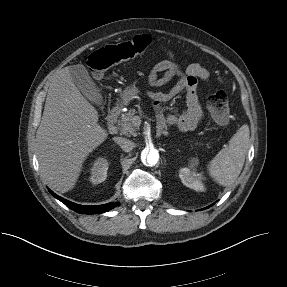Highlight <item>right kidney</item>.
<instances>
[{
  "label": "right kidney",
  "mask_w": 287,
  "mask_h": 287,
  "mask_svg": "<svg viewBox=\"0 0 287 287\" xmlns=\"http://www.w3.org/2000/svg\"><path fill=\"white\" fill-rule=\"evenodd\" d=\"M108 161L105 158L99 157L93 162L90 169V181L93 184H99L107 178Z\"/></svg>",
  "instance_id": "ca27d5eb"
}]
</instances>
